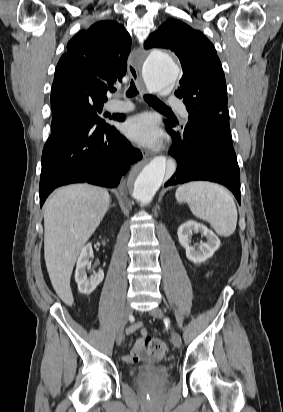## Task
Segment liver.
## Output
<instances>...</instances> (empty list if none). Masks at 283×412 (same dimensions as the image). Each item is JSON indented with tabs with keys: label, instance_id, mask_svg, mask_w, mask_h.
I'll return each mask as SVG.
<instances>
[{
	"label": "liver",
	"instance_id": "liver-1",
	"mask_svg": "<svg viewBox=\"0 0 283 412\" xmlns=\"http://www.w3.org/2000/svg\"><path fill=\"white\" fill-rule=\"evenodd\" d=\"M110 204L107 190L88 184L57 189L44 207V257L52 286L71 306L70 279L76 259Z\"/></svg>",
	"mask_w": 283,
	"mask_h": 412
}]
</instances>
